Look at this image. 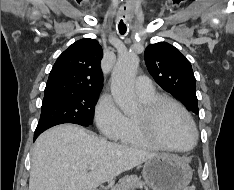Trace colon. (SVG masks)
I'll return each instance as SVG.
<instances>
[{
	"label": "colon",
	"mask_w": 234,
	"mask_h": 190,
	"mask_svg": "<svg viewBox=\"0 0 234 190\" xmlns=\"http://www.w3.org/2000/svg\"><path fill=\"white\" fill-rule=\"evenodd\" d=\"M184 190H195L194 187H186Z\"/></svg>",
	"instance_id": "colon-1"
}]
</instances>
